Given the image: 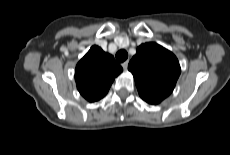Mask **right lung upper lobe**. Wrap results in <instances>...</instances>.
Returning a JSON list of instances; mask_svg holds the SVG:
<instances>
[{
    "instance_id": "cb5924a9",
    "label": "right lung upper lobe",
    "mask_w": 230,
    "mask_h": 155,
    "mask_svg": "<svg viewBox=\"0 0 230 155\" xmlns=\"http://www.w3.org/2000/svg\"><path fill=\"white\" fill-rule=\"evenodd\" d=\"M122 71L112 55L92 46L76 66L77 89L87 101H98L108 93L115 77Z\"/></svg>"
}]
</instances>
